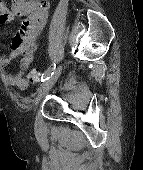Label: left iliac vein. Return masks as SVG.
Returning <instances> with one entry per match:
<instances>
[{
  "label": "left iliac vein",
  "instance_id": "left-iliac-vein-1",
  "mask_svg": "<svg viewBox=\"0 0 143 170\" xmlns=\"http://www.w3.org/2000/svg\"><path fill=\"white\" fill-rule=\"evenodd\" d=\"M62 71V65H60L53 73L52 76H50L49 79H47L39 88L38 91V96L35 100V106H37L40 102V100L42 99V97L44 95H46L48 93V91L52 88V86L55 84V82L57 81V79L59 78L60 74Z\"/></svg>",
  "mask_w": 143,
  "mask_h": 170
}]
</instances>
